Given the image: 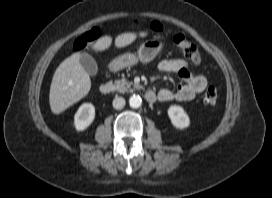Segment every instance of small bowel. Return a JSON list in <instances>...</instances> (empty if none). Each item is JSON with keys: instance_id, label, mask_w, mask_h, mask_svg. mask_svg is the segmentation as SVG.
Returning a JSON list of instances; mask_svg holds the SVG:
<instances>
[{"instance_id": "obj_1", "label": "small bowel", "mask_w": 272, "mask_h": 198, "mask_svg": "<svg viewBox=\"0 0 272 198\" xmlns=\"http://www.w3.org/2000/svg\"><path fill=\"white\" fill-rule=\"evenodd\" d=\"M158 69L163 72L176 73L182 81V84L174 91L160 90L157 98L161 102L191 101L208 85V79L204 75L192 74L188 62L183 59H164L159 62Z\"/></svg>"}]
</instances>
